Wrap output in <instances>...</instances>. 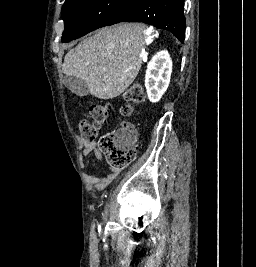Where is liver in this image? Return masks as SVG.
<instances>
[{"label": "liver", "mask_w": 256, "mask_h": 267, "mask_svg": "<svg viewBox=\"0 0 256 267\" xmlns=\"http://www.w3.org/2000/svg\"><path fill=\"white\" fill-rule=\"evenodd\" d=\"M146 28L145 24L122 22L97 30L95 36L69 50L63 74L83 80L95 98H117L134 82L141 68Z\"/></svg>", "instance_id": "6515ba94"}]
</instances>
